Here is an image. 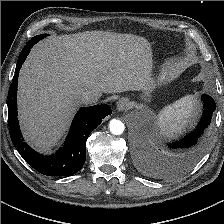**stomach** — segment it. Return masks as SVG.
<instances>
[{
	"mask_svg": "<svg viewBox=\"0 0 224 224\" xmlns=\"http://www.w3.org/2000/svg\"><path fill=\"white\" fill-rule=\"evenodd\" d=\"M155 86H156L155 79L153 78L152 72H151L148 78H146L144 82V85L142 88V92H143L142 99L146 100V97L149 96V94L153 91Z\"/></svg>",
	"mask_w": 224,
	"mask_h": 224,
	"instance_id": "stomach-1",
	"label": "stomach"
}]
</instances>
